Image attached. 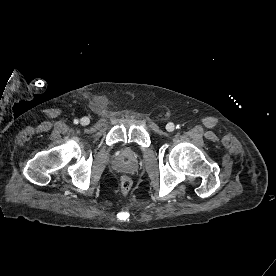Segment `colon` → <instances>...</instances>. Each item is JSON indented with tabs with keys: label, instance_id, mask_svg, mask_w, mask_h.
I'll return each instance as SVG.
<instances>
[{
	"label": "colon",
	"instance_id": "1",
	"mask_svg": "<svg viewBox=\"0 0 276 276\" xmlns=\"http://www.w3.org/2000/svg\"><path fill=\"white\" fill-rule=\"evenodd\" d=\"M132 188V181L126 176H122L119 180V190L123 194H127Z\"/></svg>",
	"mask_w": 276,
	"mask_h": 276
}]
</instances>
